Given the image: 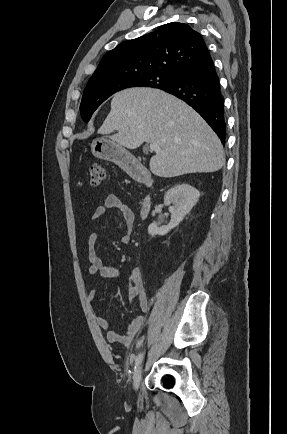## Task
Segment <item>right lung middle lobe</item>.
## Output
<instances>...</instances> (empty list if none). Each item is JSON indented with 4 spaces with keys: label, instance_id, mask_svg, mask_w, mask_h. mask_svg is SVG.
Here are the masks:
<instances>
[{
    "label": "right lung middle lobe",
    "instance_id": "right-lung-middle-lobe-1",
    "mask_svg": "<svg viewBox=\"0 0 287 434\" xmlns=\"http://www.w3.org/2000/svg\"><path fill=\"white\" fill-rule=\"evenodd\" d=\"M177 76L162 74H143L134 77H112L88 82L80 105L82 119L88 122L94 111L114 93L138 86L164 89L172 86Z\"/></svg>",
    "mask_w": 287,
    "mask_h": 434
}]
</instances>
